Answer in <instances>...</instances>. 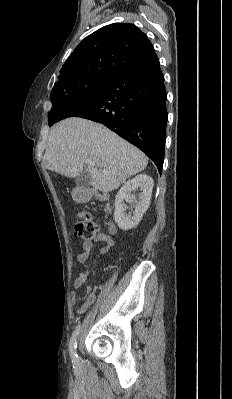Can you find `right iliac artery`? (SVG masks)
Masks as SVG:
<instances>
[{
    "instance_id": "obj_1",
    "label": "right iliac artery",
    "mask_w": 232,
    "mask_h": 399,
    "mask_svg": "<svg viewBox=\"0 0 232 399\" xmlns=\"http://www.w3.org/2000/svg\"><path fill=\"white\" fill-rule=\"evenodd\" d=\"M79 330H80V325L73 332L71 340H70V345H69V351H70V356H71L73 365H78L79 364V358H78V354H77V351H76V348H77V335L79 334Z\"/></svg>"
}]
</instances>
